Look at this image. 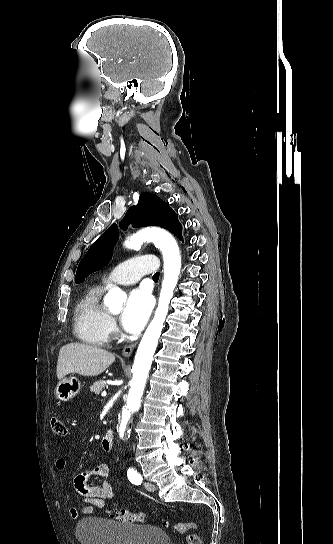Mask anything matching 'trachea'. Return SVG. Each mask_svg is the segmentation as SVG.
<instances>
[{
    "label": "trachea",
    "instance_id": "1",
    "mask_svg": "<svg viewBox=\"0 0 333 544\" xmlns=\"http://www.w3.org/2000/svg\"><path fill=\"white\" fill-rule=\"evenodd\" d=\"M153 279H156V280L159 279V272H157V273H155V274L153 275Z\"/></svg>",
    "mask_w": 333,
    "mask_h": 544
}]
</instances>
